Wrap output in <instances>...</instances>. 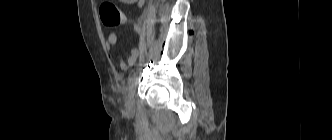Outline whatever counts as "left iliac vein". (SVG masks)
<instances>
[{
  "label": "left iliac vein",
  "mask_w": 332,
  "mask_h": 140,
  "mask_svg": "<svg viewBox=\"0 0 332 140\" xmlns=\"http://www.w3.org/2000/svg\"><path fill=\"white\" fill-rule=\"evenodd\" d=\"M134 94H135V90H134V83L131 85V89L126 97L125 100V108L126 111L129 113H132L135 111V100H134Z\"/></svg>",
  "instance_id": "left-iliac-vein-1"
}]
</instances>
